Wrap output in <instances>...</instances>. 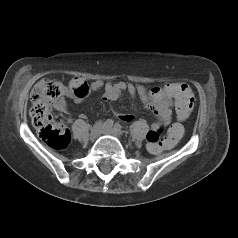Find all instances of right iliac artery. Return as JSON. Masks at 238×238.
<instances>
[{"label": "right iliac artery", "mask_w": 238, "mask_h": 238, "mask_svg": "<svg viewBox=\"0 0 238 238\" xmlns=\"http://www.w3.org/2000/svg\"><path fill=\"white\" fill-rule=\"evenodd\" d=\"M113 120L112 119H107L104 123V126L107 128H111L113 126Z\"/></svg>", "instance_id": "1"}]
</instances>
